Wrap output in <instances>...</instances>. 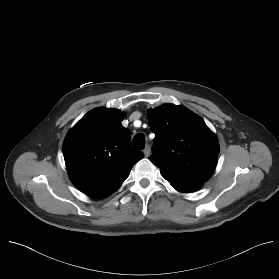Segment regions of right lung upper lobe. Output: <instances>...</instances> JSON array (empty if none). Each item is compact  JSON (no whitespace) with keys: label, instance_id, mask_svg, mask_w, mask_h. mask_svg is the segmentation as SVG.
<instances>
[{"label":"right lung upper lobe","instance_id":"right-lung-upper-lobe-1","mask_svg":"<svg viewBox=\"0 0 279 279\" xmlns=\"http://www.w3.org/2000/svg\"><path fill=\"white\" fill-rule=\"evenodd\" d=\"M124 113L96 108L67 134L63 155L72 183L92 198H106L128 177L144 154L131 146Z\"/></svg>","mask_w":279,"mask_h":279}]
</instances>
